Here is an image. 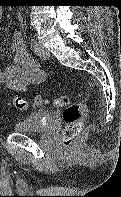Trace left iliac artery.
<instances>
[{
    "label": "left iliac artery",
    "mask_w": 121,
    "mask_h": 197,
    "mask_svg": "<svg viewBox=\"0 0 121 197\" xmlns=\"http://www.w3.org/2000/svg\"><path fill=\"white\" fill-rule=\"evenodd\" d=\"M29 42H30L31 49L36 51V49H37V42L35 41V39L31 35L29 36Z\"/></svg>",
    "instance_id": "obj_1"
}]
</instances>
